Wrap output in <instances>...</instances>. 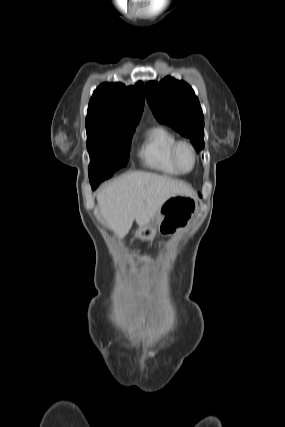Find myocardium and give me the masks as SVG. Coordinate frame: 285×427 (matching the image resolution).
Masks as SVG:
<instances>
[{
  "mask_svg": "<svg viewBox=\"0 0 285 427\" xmlns=\"http://www.w3.org/2000/svg\"><path fill=\"white\" fill-rule=\"evenodd\" d=\"M181 146H187V147H189L190 150L192 151V154H193V166L188 171L183 170L180 167L179 163H178L177 155H178V150H179V148ZM170 159H171V162H172L173 166L179 171V173H181V174H189V173H191L195 169V167L197 165V162H198V153H197V150H196L195 146L190 141H188V140H177L173 144V146L171 148Z\"/></svg>",
  "mask_w": 285,
  "mask_h": 427,
  "instance_id": "obj_1",
  "label": "myocardium"
}]
</instances>
